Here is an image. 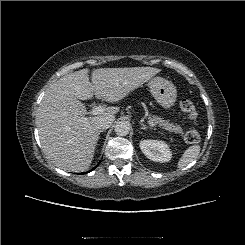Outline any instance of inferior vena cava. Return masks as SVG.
<instances>
[{"mask_svg":"<svg viewBox=\"0 0 245 245\" xmlns=\"http://www.w3.org/2000/svg\"><path fill=\"white\" fill-rule=\"evenodd\" d=\"M114 120L115 117L113 115L102 116L98 121V128L100 130L108 129L112 125Z\"/></svg>","mask_w":245,"mask_h":245,"instance_id":"obj_1","label":"inferior vena cava"}]
</instances>
